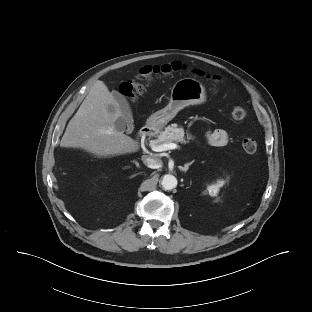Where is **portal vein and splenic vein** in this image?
I'll return each mask as SVG.
<instances>
[{
	"label": "portal vein and splenic vein",
	"instance_id": "18ae733b",
	"mask_svg": "<svg viewBox=\"0 0 312 312\" xmlns=\"http://www.w3.org/2000/svg\"><path fill=\"white\" fill-rule=\"evenodd\" d=\"M178 145L175 143H168V144H161V145H155L151 144V149L155 152H162V151H167L170 149H177Z\"/></svg>",
	"mask_w": 312,
	"mask_h": 312
}]
</instances>
